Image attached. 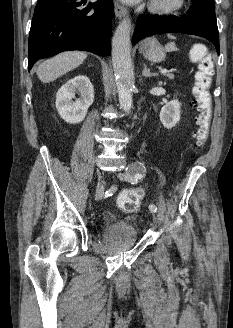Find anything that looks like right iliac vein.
Returning a JSON list of instances; mask_svg holds the SVG:
<instances>
[{
    "instance_id": "right-iliac-vein-1",
    "label": "right iliac vein",
    "mask_w": 233,
    "mask_h": 328,
    "mask_svg": "<svg viewBox=\"0 0 233 328\" xmlns=\"http://www.w3.org/2000/svg\"><path fill=\"white\" fill-rule=\"evenodd\" d=\"M98 183H97V187H96V191H95V199L99 200L103 197L104 195V184L103 181L101 180V174L100 172H98Z\"/></svg>"
}]
</instances>
